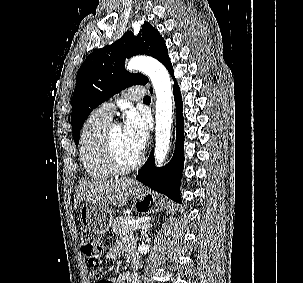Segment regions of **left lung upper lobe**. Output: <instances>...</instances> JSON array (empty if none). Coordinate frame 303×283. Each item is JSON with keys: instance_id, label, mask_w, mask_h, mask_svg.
<instances>
[{"instance_id": "obj_1", "label": "left lung upper lobe", "mask_w": 303, "mask_h": 283, "mask_svg": "<svg viewBox=\"0 0 303 283\" xmlns=\"http://www.w3.org/2000/svg\"><path fill=\"white\" fill-rule=\"evenodd\" d=\"M146 54L158 59L165 67L170 62L164 39L148 22L137 36L126 32L119 40L92 52L83 62L76 76L72 99V132L76 146L88 115L102 102L132 85H145L146 76L125 70V59Z\"/></svg>"}]
</instances>
